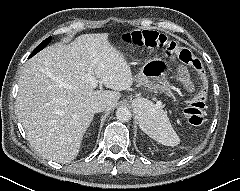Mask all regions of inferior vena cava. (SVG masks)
<instances>
[{
    "label": "inferior vena cava",
    "instance_id": "602c4592",
    "mask_svg": "<svg viewBox=\"0 0 240 191\" xmlns=\"http://www.w3.org/2000/svg\"><path fill=\"white\" fill-rule=\"evenodd\" d=\"M107 110V105L105 103H96L94 106H93V111L95 113H98V112H103Z\"/></svg>",
    "mask_w": 240,
    "mask_h": 191
}]
</instances>
